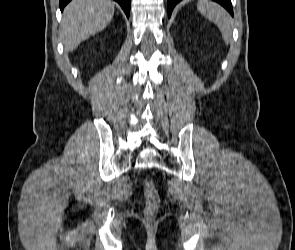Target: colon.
Wrapping results in <instances>:
<instances>
[{
    "instance_id": "obj_1",
    "label": "colon",
    "mask_w": 295,
    "mask_h": 250,
    "mask_svg": "<svg viewBox=\"0 0 295 250\" xmlns=\"http://www.w3.org/2000/svg\"><path fill=\"white\" fill-rule=\"evenodd\" d=\"M144 196L146 199L144 214L147 218L152 219L156 216L160 206V197L153 183L145 184Z\"/></svg>"
}]
</instances>
